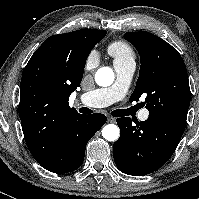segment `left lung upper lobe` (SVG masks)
<instances>
[{"label": "left lung upper lobe", "mask_w": 199, "mask_h": 199, "mask_svg": "<svg viewBox=\"0 0 199 199\" xmlns=\"http://www.w3.org/2000/svg\"><path fill=\"white\" fill-rule=\"evenodd\" d=\"M141 58L139 78L130 100L146 96L149 116H161L186 125L191 100L185 63L178 51L158 36L146 31L127 32Z\"/></svg>", "instance_id": "5c2ea615"}]
</instances>
